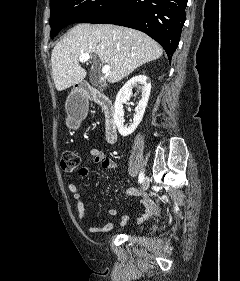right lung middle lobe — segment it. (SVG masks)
<instances>
[{"mask_svg": "<svg viewBox=\"0 0 240 281\" xmlns=\"http://www.w3.org/2000/svg\"><path fill=\"white\" fill-rule=\"evenodd\" d=\"M118 0H51V38L72 23H92L110 10Z\"/></svg>", "mask_w": 240, "mask_h": 281, "instance_id": "1", "label": "right lung middle lobe"}]
</instances>
